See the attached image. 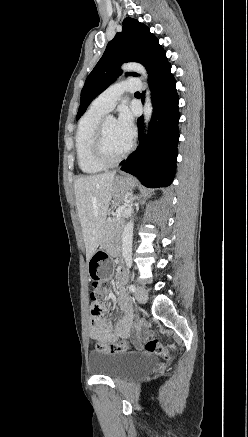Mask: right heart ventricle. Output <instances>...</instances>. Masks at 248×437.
<instances>
[{"mask_svg":"<svg viewBox=\"0 0 248 437\" xmlns=\"http://www.w3.org/2000/svg\"><path fill=\"white\" fill-rule=\"evenodd\" d=\"M106 112L91 106L81 117L75 139L79 169L85 174H96L104 169L94 158L92 146L98 124Z\"/></svg>","mask_w":248,"mask_h":437,"instance_id":"right-heart-ventricle-1","label":"right heart ventricle"}]
</instances>
